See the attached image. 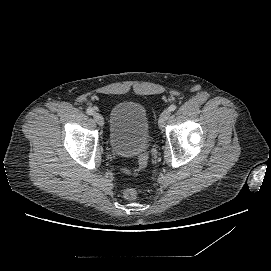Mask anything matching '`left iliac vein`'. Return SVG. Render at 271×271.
<instances>
[{
  "label": "left iliac vein",
  "instance_id": "4c4485c4",
  "mask_svg": "<svg viewBox=\"0 0 271 271\" xmlns=\"http://www.w3.org/2000/svg\"><path fill=\"white\" fill-rule=\"evenodd\" d=\"M170 111L169 110H164L158 120V124L160 128H163L166 124V121L168 120L169 116H170Z\"/></svg>",
  "mask_w": 271,
  "mask_h": 271
}]
</instances>
